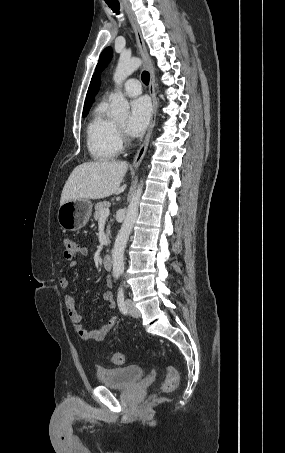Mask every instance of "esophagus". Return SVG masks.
<instances>
[{
	"label": "esophagus",
	"mask_w": 285,
	"mask_h": 453,
	"mask_svg": "<svg viewBox=\"0 0 285 453\" xmlns=\"http://www.w3.org/2000/svg\"><path fill=\"white\" fill-rule=\"evenodd\" d=\"M124 7H125L126 13L128 15V18L130 20V23L132 25V28L134 30L140 54L143 58L144 64L150 75L149 94L152 99V113H151V121H150V125L148 128V132L145 136V139H144L142 145L140 146L137 153L135 154L133 162H132V166L136 168L141 164V162L144 158V155H145L148 145H149V141H150V137H151L153 128L155 126L156 112H157V98H156V93H155V74H154L152 60L148 54L141 31L137 25V22L133 16L131 10L129 9L128 5L125 3H124Z\"/></svg>",
	"instance_id": "34e87169"
}]
</instances>
